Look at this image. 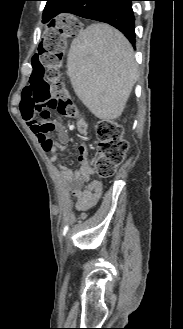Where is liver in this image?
I'll use <instances>...</instances> for the list:
<instances>
[{
  "label": "liver",
  "instance_id": "obj_1",
  "mask_svg": "<svg viewBox=\"0 0 183 329\" xmlns=\"http://www.w3.org/2000/svg\"><path fill=\"white\" fill-rule=\"evenodd\" d=\"M67 70L78 98L104 121L122 114L138 77L133 47L103 23L88 26L73 39Z\"/></svg>",
  "mask_w": 183,
  "mask_h": 329
}]
</instances>
